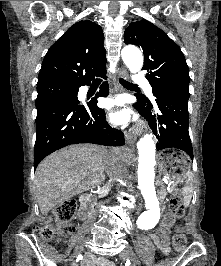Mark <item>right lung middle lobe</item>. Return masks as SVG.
Instances as JSON below:
<instances>
[{"label": "right lung middle lobe", "instance_id": "obj_1", "mask_svg": "<svg viewBox=\"0 0 221 266\" xmlns=\"http://www.w3.org/2000/svg\"><path fill=\"white\" fill-rule=\"evenodd\" d=\"M37 91L38 96L35 104L37 111H39L56 100L76 95L78 93V88L62 85H46L37 87Z\"/></svg>", "mask_w": 221, "mask_h": 266}]
</instances>
